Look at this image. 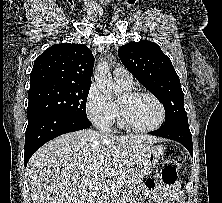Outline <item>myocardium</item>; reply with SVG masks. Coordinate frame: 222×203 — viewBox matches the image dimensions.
<instances>
[{"label": "myocardium", "instance_id": "myocardium-1", "mask_svg": "<svg viewBox=\"0 0 222 203\" xmlns=\"http://www.w3.org/2000/svg\"><path fill=\"white\" fill-rule=\"evenodd\" d=\"M124 95L128 99H134V98L141 97V96L149 97L157 104V106L160 109V119L156 124L149 126V127H139V126L135 125L129 119V117L126 114V112L124 111V109L119 104H117L119 118H120L121 124L125 128H127L131 131H134V132H152V131L160 128L164 124L165 119H166V110H165V107L162 104V102L154 94H152L150 92H144V91H135V92H126Z\"/></svg>", "mask_w": 222, "mask_h": 203}]
</instances>
